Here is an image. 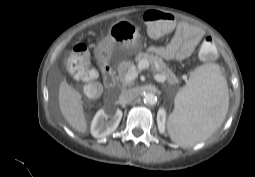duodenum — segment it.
<instances>
[{
    "label": "duodenum",
    "instance_id": "duodenum-1",
    "mask_svg": "<svg viewBox=\"0 0 255 177\" xmlns=\"http://www.w3.org/2000/svg\"><path fill=\"white\" fill-rule=\"evenodd\" d=\"M100 61V68L103 74L104 84L108 89H114L115 88V75L112 70L111 65L108 61L105 60L104 57L99 58Z\"/></svg>",
    "mask_w": 255,
    "mask_h": 177
}]
</instances>
